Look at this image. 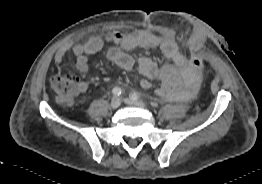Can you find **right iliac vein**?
Returning <instances> with one entry per match:
<instances>
[{
    "mask_svg": "<svg viewBox=\"0 0 262 184\" xmlns=\"http://www.w3.org/2000/svg\"><path fill=\"white\" fill-rule=\"evenodd\" d=\"M121 104L120 98L119 97H113L111 102H110V106L112 109H117Z\"/></svg>",
    "mask_w": 262,
    "mask_h": 184,
    "instance_id": "right-iliac-vein-1",
    "label": "right iliac vein"
}]
</instances>
